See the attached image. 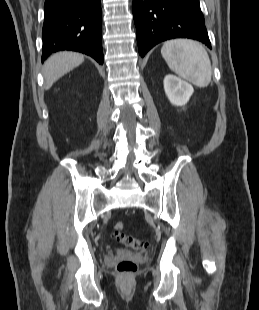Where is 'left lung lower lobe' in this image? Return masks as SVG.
I'll list each match as a JSON object with an SVG mask.
<instances>
[{
    "instance_id": "obj_1",
    "label": "left lung lower lobe",
    "mask_w": 259,
    "mask_h": 310,
    "mask_svg": "<svg viewBox=\"0 0 259 310\" xmlns=\"http://www.w3.org/2000/svg\"><path fill=\"white\" fill-rule=\"evenodd\" d=\"M133 16L141 57L172 38L195 39L211 48L199 0H133Z\"/></svg>"
}]
</instances>
